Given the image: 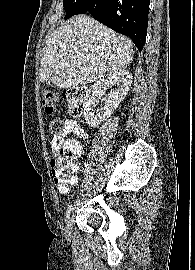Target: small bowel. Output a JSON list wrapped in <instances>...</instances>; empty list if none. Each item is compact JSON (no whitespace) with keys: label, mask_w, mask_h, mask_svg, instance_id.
Segmentation results:
<instances>
[{"label":"small bowel","mask_w":195,"mask_h":270,"mask_svg":"<svg viewBox=\"0 0 195 270\" xmlns=\"http://www.w3.org/2000/svg\"><path fill=\"white\" fill-rule=\"evenodd\" d=\"M74 134L80 139H86L88 134L75 120L69 119L65 121V134L61 137H53L51 140V149L53 152L57 150L65 142V137Z\"/></svg>","instance_id":"c3829d8e"}]
</instances>
